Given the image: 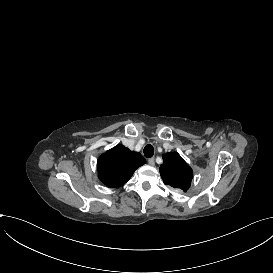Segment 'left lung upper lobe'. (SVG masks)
I'll return each mask as SVG.
<instances>
[{
    "mask_svg": "<svg viewBox=\"0 0 273 273\" xmlns=\"http://www.w3.org/2000/svg\"><path fill=\"white\" fill-rule=\"evenodd\" d=\"M160 175L165 184L186 192L191 185L193 171L177 152H170L163 155Z\"/></svg>",
    "mask_w": 273,
    "mask_h": 273,
    "instance_id": "5c2ea615",
    "label": "left lung upper lobe"
}]
</instances>
